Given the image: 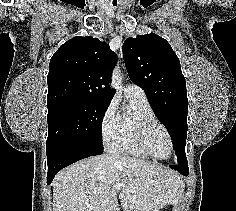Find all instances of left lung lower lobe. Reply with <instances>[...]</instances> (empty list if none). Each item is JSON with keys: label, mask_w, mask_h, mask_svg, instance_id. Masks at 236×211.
I'll list each match as a JSON object with an SVG mask.
<instances>
[{"label": "left lung lower lobe", "mask_w": 236, "mask_h": 211, "mask_svg": "<svg viewBox=\"0 0 236 211\" xmlns=\"http://www.w3.org/2000/svg\"><path fill=\"white\" fill-rule=\"evenodd\" d=\"M171 168L177 170L184 176H188V163H178L177 165H171Z\"/></svg>", "instance_id": "obj_1"}]
</instances>
